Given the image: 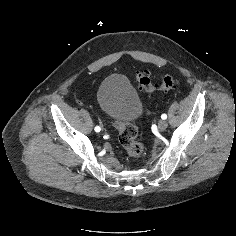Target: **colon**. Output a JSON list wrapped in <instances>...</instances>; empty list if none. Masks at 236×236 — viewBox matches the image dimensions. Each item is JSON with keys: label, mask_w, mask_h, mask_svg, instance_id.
<instances>
[{"label": "colon", "mask_w": 236, "mask_h": 236, "mask_svg": "<svg viewBox=\"0 0 236 236\" xmlns=\"http://www.w3.org/2000/svg\"><path fill=\"white\" fill-rule=\"evenodd\" d=\"M136 82L146 92L170 91L176 88L177 80L170 74L164 75L160 82H154L146 71L136 74ZM118 130V140L127 153L133 159H139L144 154V146L137 140V129L132 123H114Z\"/></svg>", "instance_id": "colon-1"}]
</instances>
